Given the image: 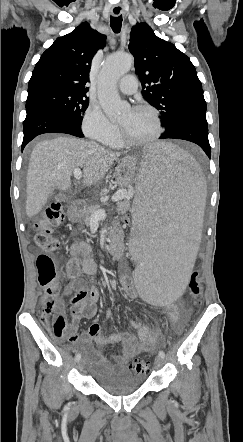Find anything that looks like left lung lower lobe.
Instances as JSON below:
<instances>
[{
	"mask_svg": "<svg viewBox=\"0 0 243 442\" xmlns=\"http://www.w3.org/2000/svg\"><path fill=\"white\" fill-rule=\"evenodd\" d=\"M182 139L199 145L211 157L206 120V103L196 102L181 107L165 125L160 139Z\"/></svg>",
	"mask_w": 243,
	"mask_h": 442,
	"instance_id": "0a47b994",
	"label": "left lung lower lobe"
}]
</instances>
